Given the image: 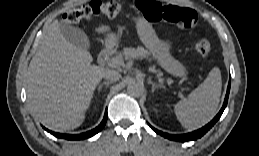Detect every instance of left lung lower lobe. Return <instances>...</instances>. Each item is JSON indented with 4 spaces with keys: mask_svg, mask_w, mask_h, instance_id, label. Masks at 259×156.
<instances>
[{
    "mask_svg": "<svg viewBox=\"0 0 259 156\" xmlns=\"http://www.w3.org/2000/svg\"><path fill=\"white\" fill-rule=\"evenodd\" d=\"M229 92H230V80H229V84L227 87V93L225 96V100L223 103V106L221 108V110L219 111V113L214 117V119L209 122L206 126L202 127L199 130H196L194 132H190L187 134H180V135H172V134H167L164 132H161L155 128H153L152 126H150L157 134L162 135L163 137L170 139V140H174V141H190V140H196L200 137H202L210 128H212V126H214V124L219 120V118L221 117L224 109L227 106V101H228V96H229Z\"/></svg>",
    "mask_w": 259,
    "mask_h": 156,
    "instance_id": "obj_1",
    "label": "left lung lower lobe"
}]
</instances>
